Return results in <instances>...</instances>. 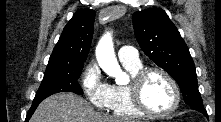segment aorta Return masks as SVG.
<instances>
[{
  "label": "aorta",
  "mask_w": 221,
  "mask_h": 122,
  "mask_svg": "<svg viewBox=\"0 0 221 122\" xmlns=\"http://www.w3.org/2000/svg\"><path fill=\"white\" fill-rule=\"evenodd\" d=\"M96 58L102 70L109 76L114 77L117 84L125 82L126 76L115 57L110 34L104 35L100 40L96 49Z\"/></svg>",
  "instance_id": "obj_1"
}]
</instances>
